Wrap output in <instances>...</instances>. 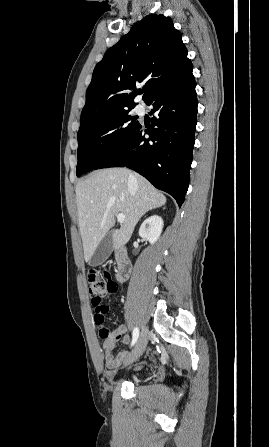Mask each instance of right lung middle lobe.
I'll list each match as a JSON object with an SVG mask.
<instances>
[{
  "label": "right lung middle lobe",
  "instance_id": "1",
  "mask_svg": "<svg viewBox=\"0 0 269 447\" xmlns=\"http://www.w3.org/2000/svg\"><path fill=\"white\" fill-rule=\"evenodd\" d=\"M133 108L104 113L79 128L77 176L93 170L135 132L140 124L131 113Z\"/></svg>",
  "mask_w": 269,
  "mask_h": 447
}]
</instances>
